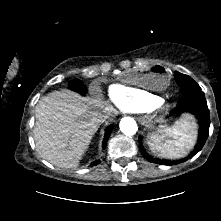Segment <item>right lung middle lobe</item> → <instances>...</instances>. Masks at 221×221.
Returning <instances> with one entry per match:
<instances>
[{
  "label": "right lung middle lobe",
  "mask_w": 221,
  "mask_h": 221,
  "mask_svg": "<svg viewBox=\"0 0 221 221\" xmlns=\"http://www.w3.org/2000/svg\"><path fill=\"white\" fill-rule=\"evenodd\" d=\"M72 87H73L74 90H77L80 93H84L86 91L85 86L79 81L73 82Z\"/></svg>",
  "instance_id": "right-lung-middle-lobe-1"
}]
</instances>
